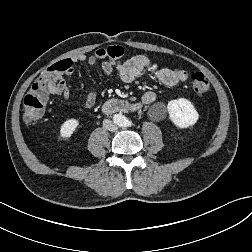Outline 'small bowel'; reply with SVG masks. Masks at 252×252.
<instances>
[{"mask_svg": "<svg viewBox=\"0 0 252 252\" xmlns=\"http://www.w3.org/2000/svg\"><path fill=\"white\" fill-rule=\"evenodd\" d=\"M70 63V68L65 72L67 75L73 73V64L78 62H87L93 66L96 62L94 56H87L80 54L67 60ZM103 72L106 76H110L114 70H117L121 80L125 83L133 82L143 71L151 72L163 85L167 87H174L181 82L188 79V73L182 69L160 68L153 63L148 57L144 55H136L132 58L118 62L114 65L109 62L102 64ZM51 95L68 99L70 97V88L67 82L60 79L58 83L48 88ZM156 100V94L153 91H147L142 95L139 103H132L133 110L139 109L143 106L152 104ZM96 102V92L94 89H89L86 94V107H92Z\"/></svg>", "mask_w": 252, "mask_h": 252, "instance_id": "obj_1", "label": "small bowel"}]
</instances>
